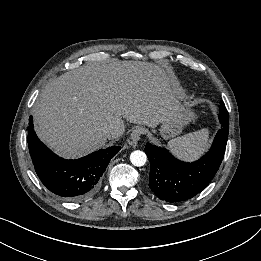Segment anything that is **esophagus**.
<instances>
[{"instance_id":"34e87169","label":"esophagus","mask_w":261,"mask_h":261,"mask_svg":"<svg viewBox=\"0 0 261 261\" xmlns=\"http://www.w3.org/2000/svg\"><path fill=\"white\" fill-rule=\"evenodd\" d=\"M143 132V128L141 127H136L135 129H133L130 134V139L132 140V142L137 143L141 139Z\"/></svg>"}]
</instances>
